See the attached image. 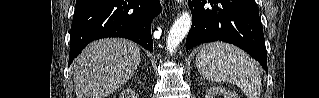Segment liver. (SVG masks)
<instances>
[{
	"label": "liver",
	"mask_w": 319,
	"mask_h": 98,
	"mask_svg": "<svg viewBox=\"0 0 319 98\" xmlns=\"http://www.w3.org/2000/svg\"><path fill=\"white\" fill-rule=\"evenodd\" d=\"M139 62L140 48L130 40L92 42L72 65L77 98H107L134 75Z\"/></svg>",
	"instance_id": "1"
}]
</instances>
